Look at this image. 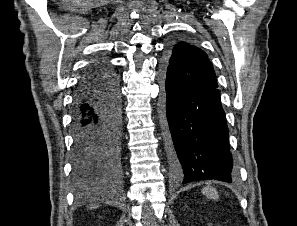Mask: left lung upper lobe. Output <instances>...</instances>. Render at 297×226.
<instances>
[{"label":"left lung upper lobe","mask_w":297,"mask_h":226,"mask_svg":"<svg viewBox=\"0 0 297 226\" xmlns=\"http://www.w3.org/2000/svg\"><path fill=\"white\" fill-rule=\"evenodd\" d=\"M164 63L188 87L205 90L216 87L217 81L213 66L205 52L186 42L177 43Z\"/></svg>","instance_id":"obj_1"}]
</instances>
